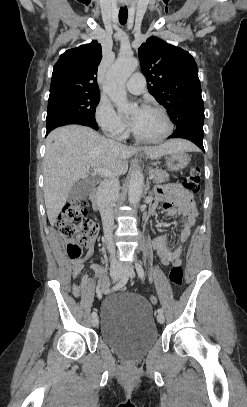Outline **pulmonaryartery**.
I'll return each instance as SVG.
<instances>
[{"instance_id": "e3ab8cb5", "label": "pulmonary artery", "mask_w": 247, "mask_h": 407, "mask_svg": "<svg viewBox=\"0 0 247 407\" xmlns=\"http://www.w3.org/2000/svg\"><path fill=\"white\" fill-rule=\"evenodd\" d=\"M127 90L133 94H140L145 88V78L142 73H135L125 84Z\"/></svg>"}]
</instances>
